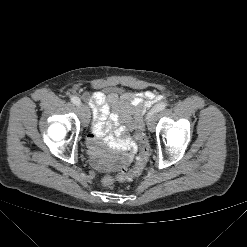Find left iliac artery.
Wrapping results in <instances>:
<instances>
[{
    "label": "left iliac artery",
    "mask_w": 247,
    "mask_h": 247,
    "mask_svg": "<svg viewBox=\"0 0 247 247\" xmlns=\"http://www.w3.org/2000/svg\"><path fill=\"white\" fill-rule=\"evenodd\" d=\"M166 106L167 105L165 103H159L153 109H151V111L148 114H151L153 112H160V111L164 110L166 108Z\"/></svg>",
    "instance_id": "1"
}]
</instances>
